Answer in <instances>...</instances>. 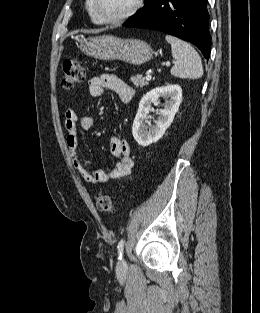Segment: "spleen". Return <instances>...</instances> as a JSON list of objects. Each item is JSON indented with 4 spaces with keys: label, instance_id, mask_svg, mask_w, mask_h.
I'll return each instance as SVG.
<instances>
[{
    "label": "spleen",
    "instance_id": "1",
    "mask_svg": "<svg viewBox=\"0 0 260 313\" xmlns=\"http://www.w3.org/2000/svg\"><path fill=\"white\" fill-rule=\"evenodd\" d=\"M165 39L171 45L172 56L176 60L171 68V74L184 79L201 78L203 67L196 50L189 43L172 35H166Z\"/></svg>",
    "mask_w": 260,
    "mask_h": 313
}]
</instances>
